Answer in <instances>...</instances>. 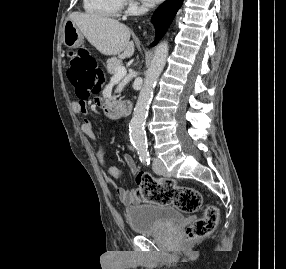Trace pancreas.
Masks as SVG:
<instances>
[{
	"mask_svg": "<svg viewBox=\"0 0 286 269\" xmlns=\"http://www.w3.org/2000/svg\"><path fill=\"white\" fill-rule=\"evenodd\" d=\"M122 66V62L117 58H111L107 61V71L111 75H115L116 68Z\"/></svg>",
	"mask_w": 286,
	"mask_h": 269,
	"instance_id": "obj_1",
	"label": "pancreas"
}]
</instances>
